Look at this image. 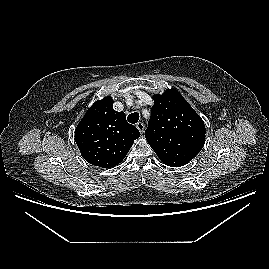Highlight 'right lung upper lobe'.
I'll return each mask as SVG.
<instances>
[{"instance_id":"obj_1","label":"right lung upper lobe","mask_w":269,"mask_h":269,"mask_svg":"<svg viewBox=\"0 0 269 269\" xmlns=\"http://www.w3.org/2000/svg\"><path fill=\"white\" fill-rule=\"evenodd\" d=\"M112 105L111 97L95 102L75 130L82 157L102 168L118 165L140 136L138 129L126 121L125 113L115 111Z\"/></svg>"}]
</instances>
